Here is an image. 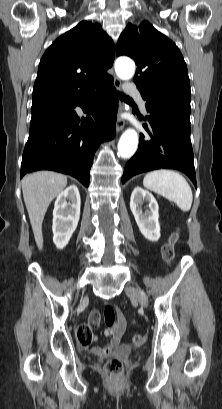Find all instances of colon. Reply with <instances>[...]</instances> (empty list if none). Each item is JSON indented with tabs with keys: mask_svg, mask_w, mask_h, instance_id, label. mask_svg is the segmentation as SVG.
Returning <instances> with one entry per match:
<instances>
[{
	"mask_svg": "<svg viewBox=\"0 0 222 409\" xmlns=\"http://www.w3.org/2000/svg\"><path fill=\"white\" fill-rule=\"evenodd\" d=\"M178 234L174 233L168 240V242L162 247V258L167 263H172L175 257V245L178 241ZM104 320L107 326H112L115 321V312L111 305H106L104 308ZM76 337L80 344H90L92 340V333L86 324H82L76 329ZM133 342L135 344H142L144 338L141 335H135L133 337ZM105 372L107 376L113 381L118 382L122 380V375L124 371V365L119 358H110L105 362L104 365Z\"/></svg>",
	"mask_w": 222,
	"mask_h": 409,
	"instance_id": "5ec220e1",
	"label": "colon"
}]
</instances>
